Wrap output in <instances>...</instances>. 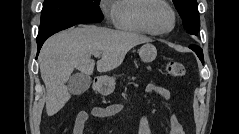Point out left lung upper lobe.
I'll return each mask as SVG.
<instances>
[{
	"instance_id": "left-lung-upper-lobe-1",
	"label": "left lung upper lobe",
	"mask_w": 239,
	"mask_h": 134,
	"mask_svg": "<svg viewBox=\"0 0 239 134\" xmlns=\"http://www.w3.org/2000/svg\"><path fill=\"white\" fill-rule=\"evenodd\" d=\"M173 3L183 20V25L187 32L197 35L200 29L197 0H173ZM201 60L204 61L203 58Z\"/></svg>"
}]
</instances>
